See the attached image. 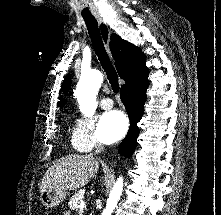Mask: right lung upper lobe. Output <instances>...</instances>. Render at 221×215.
<instances>
[{
    "instance_id": "right-lung-upper-lobe-1",
    "label": "right lung upper lobe",
    "mask_w": 221,
    "mask_h": 215,
    "mask_svg": "<svg viewBox=\"0 0 221 215\" xmlns=\"http://www.w3.org/2000/svg\"><path fill=\"white\" fill-rule=\"evenodd\" d=\"M110 48L120 78L126 81V83L121 86V89L135 84L148 75L149 70L145 64V55L139 47L123 40L116 34H112ZM70 86L71 78L67 76L62 83L61 91L67 93ZM64 104L65 99L60 97L58 106H63Z\"/></svg>"
}]
</instances>
